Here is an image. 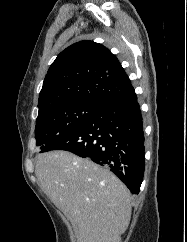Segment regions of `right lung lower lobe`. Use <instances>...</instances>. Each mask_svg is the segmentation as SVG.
<instances>
[{
	"label": "right lung lower lobe",
	"mask_w": 187,
	"mask_h": 242,
	"mask_svg": "<svg viewBox=\"0 0 187 242\" xmlns=\"http://www.w3.org/2000/svg\"><path fill=\"white\" fill-rule=\"evenodd\" d=\"M66 150L110 169L138 194L145 167L142 115L131 92L105 105L90 119L41 152Z\"/></svg>",
	"instance_id": "1"
}]
</instances>
